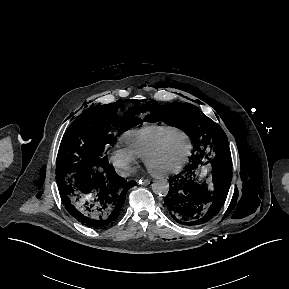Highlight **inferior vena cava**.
Wrapping results in <instances>:
<instances>
[{"label": "inferior vena cava", "mask_w": 289, "mask_h": 289, "mask_svg": "<svg viewBox=\"0 0 289 289\" xmlns=\"http://www.w3.org/2000/svg\"><path fill=\"white\" fill-rule=\"evenodd\" d=\"M129 169H130V167L127 166V167L125 168V171H123V170H118V173H119L120 175H123V176L129 175Z\"/></svg>", "instance_id": "1"}]
</instances>
